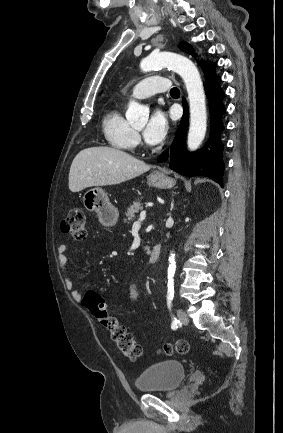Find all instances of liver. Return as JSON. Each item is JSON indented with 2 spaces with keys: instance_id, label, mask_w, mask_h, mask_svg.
Masks as SVG:
<instances>
[{
  "instance_id": "obj_1",
  "label": "liver",
  "mask_w": 283,
  "mask_h": 433,
  "mask_svg": "<svg viewBox=\"0 0 283 433\" xmlns=\"http://www.w3.org/2000/svg\"><path fill=\"white\" fill-rule=\"evenodd\" d=\"M149 164L111 146H91L76 154L69 172V188L79 192L86 186L119 184L149 170Z\"/></svg>"
}]
</instances>
